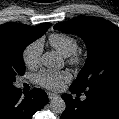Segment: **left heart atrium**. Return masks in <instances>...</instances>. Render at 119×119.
<instances>
[{
    "mask_svg": "<svg viewBox=\"0 0 119 119\" xmlns=\"http://www.w3.org/2000/svg\"><path fill=\"white\" fill-rule=\"evenodd\" d=\"M71 79L67 71H52L43 69L34 76V80L40 86L49 90H59Z\"/></svg>",
    "mask_w": 119,
    "mask_h": 119,
    "instance_id": "39dd6f15",
    "label": "left heart atrium"
}]
</instances>
